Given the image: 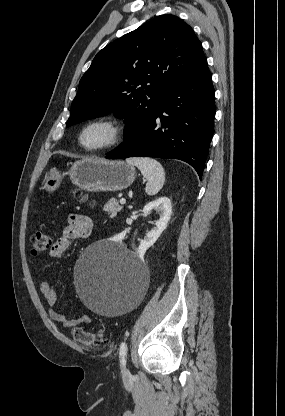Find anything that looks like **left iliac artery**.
Instances as JSON below:
<instances>
[{"instance_id": "left-iliac-artery-1", "label": "left iliac artery", "mask_w": 285, "mask_h": 416, "mask_svg": "<svg viewBox=\"0 0 285 416\" xmlns=\"http://www.w3.org/2000/svg\"><path fill=\"white\" fill-rule=\"evenodd\" d=\"M127 354V344L125 342H122L120 345V351H119V355H120V362L122 366H125L126 364V357Z\"/></svg>"}]
</instances>
